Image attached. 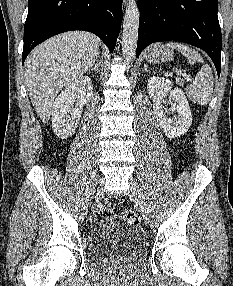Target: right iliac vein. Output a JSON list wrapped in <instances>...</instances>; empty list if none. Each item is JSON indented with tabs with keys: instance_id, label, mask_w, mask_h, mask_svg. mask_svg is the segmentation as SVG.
<instances>
[{
	"instance_id": "right-iliac-vein-1",
	"label": "right iliac vein",
	"mask_w": 233,
	"mask_h": 286,
	"mask_svg": "<svg viewBox=\"0 0 233 286\" xmlns=\"http://www.w3.org/2000/svg\"><path fill=\"white\" fill-rule=\"evenodd\" d=\"M103 195H104V190L102 187H99L97 192H96V196H95L96 199L97 200L101 199L103 197Z\"/></svg>"
}]
</instances>
